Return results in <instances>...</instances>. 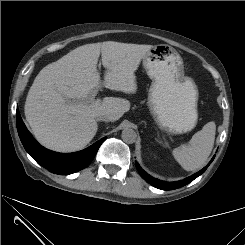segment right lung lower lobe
Instances as JSON below:
<instances>
[{
    "instance_id": "1",
    "label": "right lung lower lobe",
    "mask_w": 245,
    "mask_h": 245,
    "mask_svg": "<svg viewBox=\"0 0 245 245\" xmlns=\"http://www.w3.org/2000/svg\"><path fill=\"white\" fill-rule=\"evenodd\" d=\"M17 130L26 151L37 163L48 171L69 175L87 167L96 155L100 145L106 140L102 138L87 149L75 153H57L42 147L27 130L19 111L16 112Z\"/></svg>"
}]
</instances>
